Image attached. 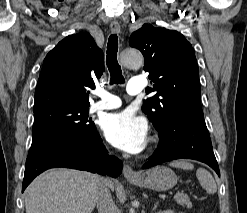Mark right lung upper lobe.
Segmentation results:
<instances>
[{
  "label": "right lung upper lobe",
  "instance_id": "obj_1",
  "mask_svg": "<svg viewBox=\"0 0 247 213\" xmlns=\"http://www.w3.org/2000/svg\"><path fill=\"white\" fill-rule=\"evenodd\" d=\"M104 72L103 52L89 33L69 35L44 59L33 110L67 102L89 106V88Z\"/></svg>",
  "mask_w": 247,
  "mask_h": 213
}]
</instances>
